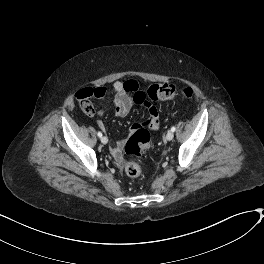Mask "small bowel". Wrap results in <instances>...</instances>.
<instances>
[{
  "label": "small bowel",
  "mask_w": 264,
  "mask_h": 264,
  "mask_svg": "<svg viewBox=\"0 0 264 264\" xmlns=\"http://www.w3.org/2000/svg\"><path fill=\"white\" fill-rule=\"evenodd\" d=\"M140 89V83L133 78L115 81L110 89L104 87L96 88L94 90L93 97L103 102L102 106L98 110V114L103 115L107 111L108 106L106 103L108 96L112 94L114 96L112 105L114 107L115 114L120 117L126 116L132 108L130 96ZM147 108L149 112L147 119L141 124L132 125L128 130V136H131L135 132L136 125L148 127L152 131L158 129L159 115L156 107L153 105H147ZM98 126L106 132V126L103 122H99ZM124 144L125 140H118L110 147V153L118 164H121L125 158L123 155Z\"/></svg>",
  "instance_id": "1"
}]
</instances>
